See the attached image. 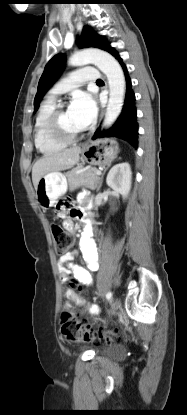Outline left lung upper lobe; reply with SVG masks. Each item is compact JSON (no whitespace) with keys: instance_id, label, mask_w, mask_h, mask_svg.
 Returning a JSON list of instances; mask_svg holds the SVG:
<instances>
[{"instance_id":"1","label":"left lung upper lobe","mask_w":187,"mask_h":415,"mask_svg":"<svg viewBox=\"0 0 187 415\" xmlns=\"http://www.w3.org/2000/svg\"><path fill=\"white\" fill-rule=\"evenodd\" d=\"M78 43L80 48L96 47L106 50L109 46L102 36L95 34L88 26L83 29ZM65 62V54L59 53L46 64L38 83V90L34 99V112L37 111L39 103L46 91L52 86L63 71Z\"/></svg>"}]
</instances>
